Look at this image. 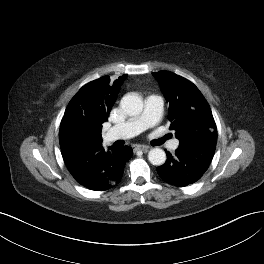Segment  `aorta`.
Returning a JSON list of instances; mask_svg holds the SVG:
<instances>
[{
    "mask_svg": "<svg viewBox=\"0 0 264 264\" xmlns=\"http://www.w3.org/2000/svg\"><path fill=\"white\" fill-rule=\"evenodd\" d=\"M121 108L130 116L139 115L143 110L142 99L134 93H128L121 99ZM151 164L160 166L166 161V153L160 148H153L148 153Z\"/></svg>",
    "mask_w": 264,
    "mask_h": 264,
    "instance_id": "762f6f07",
    "label": "aorta"
}]
</instances>
